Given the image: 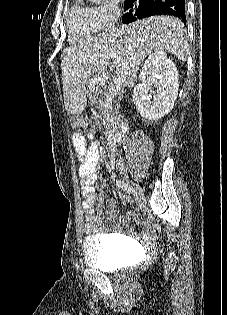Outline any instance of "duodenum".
Segmentation results:
<instances>
[{
    "mask_svg": "<svg viewBox=\"0 0 227 315\" xmlns=\"http://www.w3.org/2000/svg\"><path fill=\"white\" fill-rule=\"evenodd\" d=\"M129 129V123L126 118H123L118 131H110L107 134V140L110 144L116 146L123 142L124 134Z\"/></svg>",
    "mask_w": 227,
    "mask_h": 315,
    "instance_id": "410a0bca",
    "label": "duodenum"
}]
</instances>
